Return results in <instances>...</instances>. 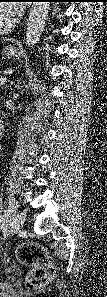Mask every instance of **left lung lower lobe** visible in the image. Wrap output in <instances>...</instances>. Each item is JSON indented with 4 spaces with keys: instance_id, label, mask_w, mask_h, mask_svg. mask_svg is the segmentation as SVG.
<instances>
[{
    "instance_id": "1",
    "label": "left lung lower lobe",
    "mask_w": 107,
    "mask_h": 297,
    "mask_svg": "<svg viewBox=\"0 0 107 297\" xmlns=\"http://www.w3.org/2000/svg\"><path fill=\"white\" fill-rule=\"evenodd\" d=\"M51 2H64V0H49Z\"/></svg>"
}]
</instances>
